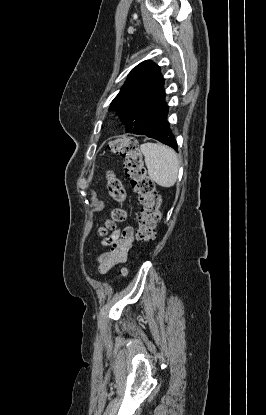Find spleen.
<instances>
[{"label": "spleen", "mask_w": 266, "mask_h": 415, "mask_svg": "<svg viewBox=\"0 0 266 415\" xmlns=\"http://www.w3.org/2000/svg\"><path fill=\"white\" fill-rule=\"evenodd\" d=\"M140 149L145 157L150 179L161 187L173 186L179 170L176 152L165 145L149 142L142 144Z\"/></svg>", "instance_id": "obj_1"}]
</instances>
